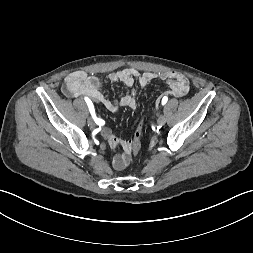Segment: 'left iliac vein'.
<instances>
[{
  "instance_id": "obj_1",
  "label": "left iliac vein",
  "mask_w": 253,
  "mask_h": 253,
  "mask_svg": "<svg viewBox=\"0 0 253 253\" xmlns=\"http://www.w3.org/2000/svg\"><path fill=\"white\" fill-rule=\"evenodd\" d=\"M157 123H158V125H164L166 123V118L163 115H160L157 118Z\"/></svg>"
}]
</instances>
